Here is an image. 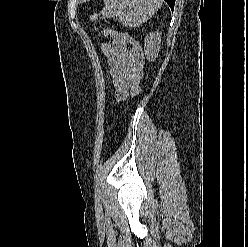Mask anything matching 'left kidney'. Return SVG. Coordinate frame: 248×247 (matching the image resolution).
<instances>
[{
    "label": "left kidney",
    "instance_id": "1",
    "mask_svg": "<svg viewBox=\"0 0 248 247\" xmlns=\"http://www.w3.org/2000/svg\"><path fill=\"white\" fill-rule=\"evenodd\" d=\"M161 35L159 32H150L144 40V52L149 61H154L159 53Z\"/></svg>",
    "mask_w": 248,
    "mask_h": 247
}]
</instances>
